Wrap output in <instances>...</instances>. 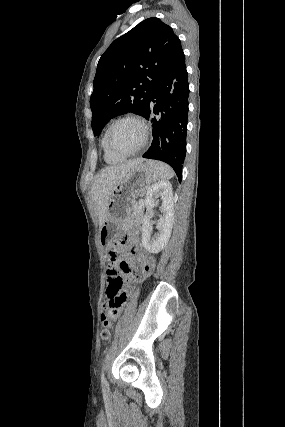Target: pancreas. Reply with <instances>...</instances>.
<instances>
[{
    "instance_id": "pancreas-1",
    "label": "pancreas",
    "mask_w": 285,
    "mask_h": 427,
    "mask_svg": "<svg viewBox=\"0 0 285 427\" xmlns=\"http://www.w3.org/2000/svg\"><path fill=\"white\" fill-rule=\"evenodd\" d=\"M141 212H142V209L140 207L137 208V207L134 206V208H133V210L131 212L129 220H133V219L137 218V216L140 215Z\"/></svg>"
}]
</instances>
